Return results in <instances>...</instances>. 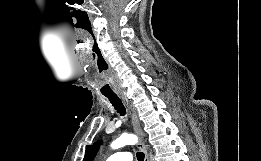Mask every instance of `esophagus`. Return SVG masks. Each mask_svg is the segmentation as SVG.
<instances>
[{
    "instance_id": "obj_1",
    "label": "esophagus",
    "mask_w": 261,
    "mask_h": 161,
    "mask_svg": "<svg viewBox=\"0 0 261 161\" xmlns=\"http://www.w3.org/2000/svg\"><path fill=\"white\" fill-rule=\"evenodd\" d=\"M121 97L124 100V102L127 104V106L129 107L134 131L139 136L140 140L138 143V148L144 152L145 161H149L147 149H146V146L143 141L144 134H143L142 126H141L139 117L137 115V112H136L135 108L133 107V105L128 101V99L126 98L125 95H121Z\"/></svg>"
}]
</instances>
